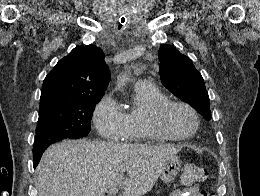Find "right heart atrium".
Masks as SVG:
<instances>
[{"label":"right heart atrium","mask_w":260,"mask_h":196,"mask_svg":"<svg viewBox=\"0 0 260 196\" xmlns=\"http://www.w3.org/2000/svg\"><path fill=\"white\" fill-rule=\"evenodd\" d=\"M92 116L96 130L100 135L93 143H114L116 131L126 127L125 112L111 93L100 98L94 107Z\"/></svg>","instance_id":"right-heart-atrium-1"}]
</instances>
